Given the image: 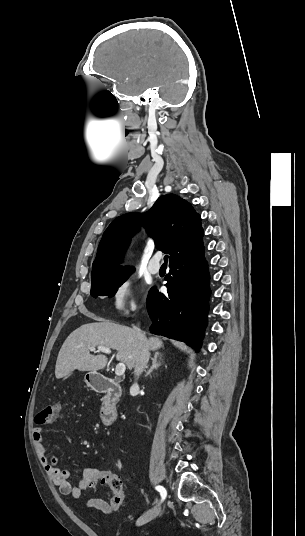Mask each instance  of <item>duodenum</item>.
Segmentation results:
<instances>
[{
	"label": "duodenum",
	"mask_w": 305,
	"mask_h": 536,
	"mask_svg": "<svg viewBox=\"0 0 305 536\" xmlns=\"http://www.w3.org/2000/svg\"><path fill=\"white\" fill-rule=\"evenodd\" d=\"M92 388L104 394L102 400L100 417L105 426L113 425L118 418L116 404L121 396V387L117 380L113 378L96 375L91 380Z\"/></svg>",
	"instance_id": "duodenum-1"
}]
</instances>
